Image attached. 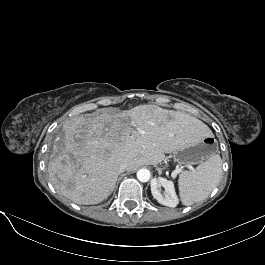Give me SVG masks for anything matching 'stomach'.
<instances>
[{
    "label": "stomach",
    "mask_w": 265,
    "mask_h": 265,
    "mask_svg": "<svg viewBox=\"0 0 265 265\" xmlns=\"http://www.w3.org/2000/svg\"><path fill=\"white\" fill-rule=\"evenodd\" d=\"M215 143L212 137L205 136L196 142L186 143L174 151V158L180 164H198L213 155Z\"/></svg>",
    "instance_id": "stomach-1"
}]
</instances>
